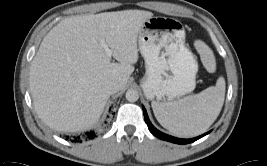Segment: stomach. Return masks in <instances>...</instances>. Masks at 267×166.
I'll return each instance as SVG.
<instances>
[{"instance_id": "stomach-1", "label": "stomach", "mask_w": 267, "mask_h": 166, "mask_svg": "<svg viewBox=\"0 0 267 166\" xmlns=\"http://www.w3.org/2000/svg\"><path fill=\"white\" fill-rule=\"evenodd\" d=\"M145 60L141 87L152 102H172L191 93L196 86L198 63L185 44V31L176 19L152 17L138 36Z\"/></svg>"}]
</instances>
